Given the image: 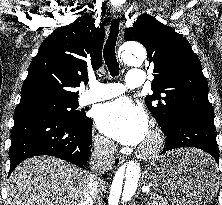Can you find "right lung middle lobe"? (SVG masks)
<instances>
[{
    "label": "right lung middle lobe",
    "mask_w": 222,
    "mask_h": 205,
    "mask_svg": "<svg viewBox=\"0 0 222 205\" xmlns=\"http://www.w3.org/2000/svg\"><path fill=\"white\" fill-rule=\"evenodd\" d=\"M78 107V101L73 102H61V101H49L40 104L39 106L31 110H41L50 112L57 116L62 117L65 121L71 124L87 125L92 119L86 117L83 110H76Z\"/></svg>",
    "instance_id": "1"
}]
</instances>
